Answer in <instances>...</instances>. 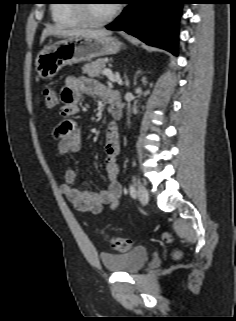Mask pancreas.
Listing matches in <instances>:
<instances>
[{"label":"pancreas","mask_w":236,"mask_h":321,"mask_svg":"<svg viewBox=\"0 0 236 321\" xmlns=\"http://www.w3.org/2000/svg\"><path fill=\"white\" fill-rule=\"evenodd\" d=\"M108 59H97L91 63L84 65L82 68L83 73L88 74L90 77H99L106 69Z\"/></svg>","instance_id":"cf45deb5"}]
</instances>
